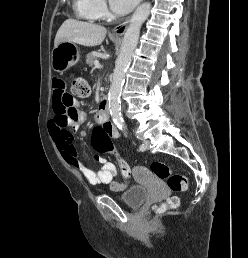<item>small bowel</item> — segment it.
I'll return each mask as SVG.
<instances>
[{
	"mask_svg": "<svg viewBox=\"0 0 248 258\" xmlns=\"http://www.w3.org/2000/svg\"><path fill=\"white\" fill-rule=\"evenodd\" d=\"M75 105L76 103L66 90L63 80L60 78L54 79L52 81V108L54 117L49 122V129L61 155L67 163L81 171L91 186L98 187L104 184L109 185L113 191L125 190L129 186V182L115 181L117 175L116 166L106 158L95 156V159L100 164V168L97 171L88 168L79 161L73 143L72 131H76L79 128L80 124L85 119V115L77 111L74 108ZM71 109H75L73 118L68 122V125H64L59 115ZM95 121L101 125L109 136L113 138L119 137V132L114 124L107 119H103L100 113L95 116Z\"/></svg>",
	"mask_w": 248,
	"mask_h": 258,
	"instance_id": "1",
	"label": "small bowel"
}]
</instances>
